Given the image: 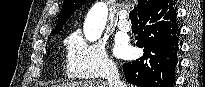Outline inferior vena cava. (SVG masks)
<instances>
[{"label": "inferior vena cava", "mask_w": 205, "mask_h": 87, "mask_svg": "<svg viewBox=\"0 0 205 87\" xmlns=\"http://www.w3.org/2000/svg\"><path fill=\"white\" fill-rule=\"evenodd\" d=\"M105 78L109 87H125V84L120 80L118 69L114 65H109L105 71Z\"/></svg>", "instance_id": "602c4592"}]
</instances>
